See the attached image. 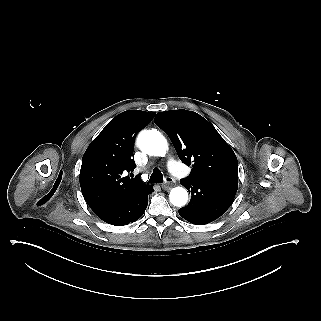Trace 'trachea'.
<instances>
[{
  "label": "trachea",
  "mask_w": 321,
  "mask_h": 321,
  "mask_svg": "<svg viewBox=\"0 0 321 321\" xmlns=\"http://www.w3.org/2000/svg\"><path fill=\"white\" fill-rule=\"evenodd\" d=\"M162 182H163V175L161 171L156 167L154 168L148 183L152 184V183H162Z\"/></svg>",
  "instance_id": "trachea-1"
}]
</instances>
